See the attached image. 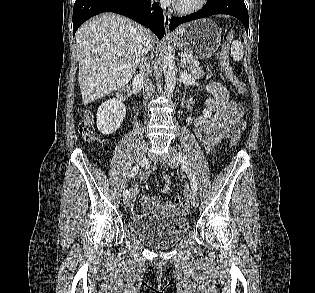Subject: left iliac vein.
Returning a JSON list of instances; mask_svg holds the SVG:
<instances>
[{
    "label": "left iliac vein",
    "mask_w": 315,
    "mask_h": 293,
    "mask_svg": "<svg viewBox=\"0 0 315 293\" xmlns=\"http://www.w3.org/2000/svg\"><path fill=\"white\" fill-rule=\"evenodd\" d=\"M167 164L171 168H177L179 164L178 154L174 148H170V153L167 156ZM190 202L194 207H197L199 204V198L196 192L191 191L189 194Z\"/></svg>",
    "instance_id": "obj_1"
}]
</instances>
